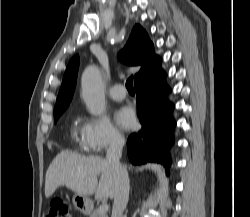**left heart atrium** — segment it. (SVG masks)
Wrapping results in <instances>:
<instances>
[{
  "instance_id": "1",
  "label": "left heart atrium",
  "mask_w": 250,
  "mask_h": 217,
  "mask_svg": "<svg viewBox=\"0 0 250 217\" xmlns=\"http://www.w3.org/2000/svg\"><path fill=\"white\" fill-rule=\"evenodd\" d=\"M116 121L124 128H132L135 125L134 112L128 107H122L116 112Z\"/></svg>"
}]
</instances>
